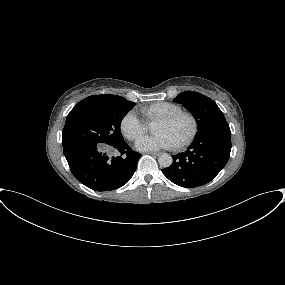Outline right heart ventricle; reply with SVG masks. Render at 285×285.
<instances>
[{"mask_svg":"<svg viewBox=\"0 0 285 285\" xmlns=\"http://www.w3.org/2000/svg\"><path fill=\"white\" fill-rule=\"evenodd\" d=\"M182 108L171 102H156L141 109L148 121H156L158 118L181 111Z\"/></svg>","mask_w":285,"mask_h":285,"instance_id":"obj_1","label":"right heart ventricle"}]
</instances>
